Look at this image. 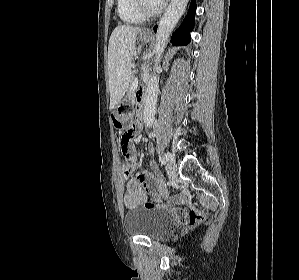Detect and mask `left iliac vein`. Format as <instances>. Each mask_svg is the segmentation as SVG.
Masks as SVG:
<instances>
[{"label":"left iliac vein","mask_w":299,"mask_h":280,"mask_svg":"<svg viewBox=\"0 0 299 280\" xmlns=\"http://www.w3.org/2000/svg\"><path fill=\"white\" fill-rule=\"evenodd\" d=\"M167 174L169 177H174L177 174V164L174 158L167 164Z\"/></svg>","instance_id":"left-iliac-vein-1"}]
</instances>
